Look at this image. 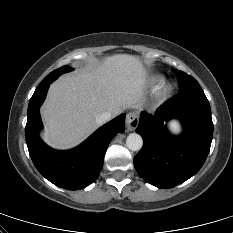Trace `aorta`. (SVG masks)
I'll use <instances>...</instances> for the list:
<instances>
[{
	"label": "aorta",
	"instance_id": "1",
	"mask_svg": "<svg viewBox=\"0 0 233 233\" xmlns=\"http://www.w3.org/2000/svg\"><path fill=\"white\" fill-rule=\"evenodd\" d=\"M142 137L137 133H131L126 139V146L132 151H138L142 148Z\"/></svg>",
	"mask_w": 233,
	"mask_h": 233
}]
</instances>
